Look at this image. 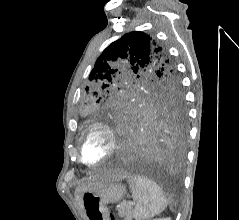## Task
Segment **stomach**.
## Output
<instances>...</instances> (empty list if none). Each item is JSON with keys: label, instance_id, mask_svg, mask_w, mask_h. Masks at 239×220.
I'll use <instances>...</instances> for the list:
<instances>
[{"label": "stomach", "instance_id": "obj_1", "mask_svg": "<svg viewBox=\"0 0 239 220\" xmlns=\"http://www.w3.org/2000/svg\"><path fill=\"white\" fill-rule=\"evenodd\" d=\"M124 185L116 181L93 188L82 195V210L87 220H121L120 205H107L122 199Z\"/></svg>", "mask_w": 239, "mask_h": 220}]
</instances>
